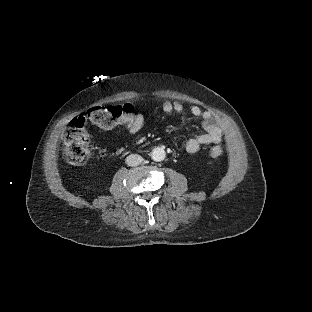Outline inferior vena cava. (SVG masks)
<instances>
[{
  "instance_id": "inferior-vena-cava-1",
  "label": "inferior vena cava",
  "mask_w": 312,
  "mask_h": 312,
  "mask_svg": "<svg viewBox=\"0 0 312 312\" xmlns=\"http://www.w3.org/2000/svg\"><path fill=\"white\" fill-rule=\"evenodd\" d=\"M125 162L128 166H132V167L138 166L142 162V157L138 154H131L127 156Z\"/></svg>"
}]
</instances>
